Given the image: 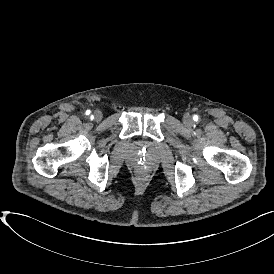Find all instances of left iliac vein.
I'll list each match as a JSON object with an SVG mask.
<instances>
[{
	"label": "left iliac vein",
	"mask_w": 274,
	"mask_h": 274,
	"mask_svg": "<svg viewBox=\"0 0 274 274\" xmlns=\"http://www.w3.org/2000/svg\"><path fill=\"white\" fill-rule=\"evenodd\" d=\"M183 122L187 126H191L193 124V118L189 114H185L183 117Z\"/></svg>",
	"instance_id": "4c4485c4"
}]
</instances>
